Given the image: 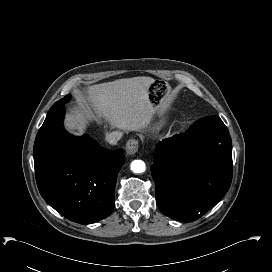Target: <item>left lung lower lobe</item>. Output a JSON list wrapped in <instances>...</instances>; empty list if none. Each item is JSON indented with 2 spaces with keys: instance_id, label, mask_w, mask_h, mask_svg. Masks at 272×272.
Masks as SVG:
<instances>
[{
  "instance_id": "1",
  "label": "left lung lower lobe",
  "mask_w": 272,
  "mask_h": 272,
  "mask_svg": "<svg viewBox=\"0 0 272 272\" xmlns=\"http://www.w3.org/2000/svg\"><path fill=\"white\" fill-rule=\"evenodd\" d=\"M156 148L151 174L156 202L164 215L194 221L228 191L233 174L232 143L218 116L197 120L185 133L164 139Z\"/></svg>"
}]
</instances>
